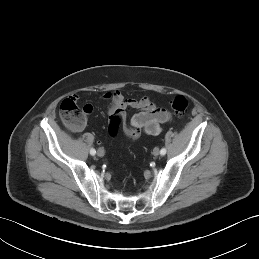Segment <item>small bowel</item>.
<instances>
[{"label": "small bowel", "mask_w": 259, "mask_h": 259, "mask_svg": "<svg viewBox=\"0 0 259 259\" xmlns=\"http://www.w3.org/2000/svg\"><path fill=\"white\" fill-rule=\"evenodd\" d=\"M103 100L108 102L107 113L110 117L116 113L125 117L127 109L137 110V113L124 127V134L130 140H136L142 134L158 135L162 131V125L171 120V114L165 109L158 108L150 95L140 99H130L126 98L119 90H115L105 93ZM84 106L87 114L93 112L91 104Z\"/></svg>", "instance_id": "c3829d8e"}]
</instances>
